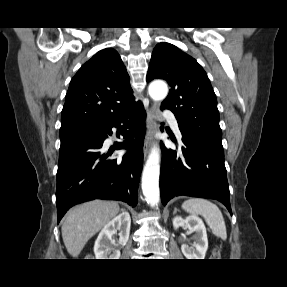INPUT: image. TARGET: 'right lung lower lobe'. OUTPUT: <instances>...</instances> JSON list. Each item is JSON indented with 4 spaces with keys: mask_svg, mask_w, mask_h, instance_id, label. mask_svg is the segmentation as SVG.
I'll return each mask as SVG.
<instances>
[{
    "mask_svg": "<svg viewBox=\"0 0 287 287\" xmlns=\"http://www.w3.org/2000/svg\"><path fill=\"white\" fill-rule=\"evenodd\" d=\"M146 113L138 103L126 112L95 126L94 133L61 140L57 171L56 204L58 223L74 205L94 199L121 200L137 205L143 165ZM117 127L127 149L122 158L108 159L103 142Z\"/></svg>",
    "mask_w": 287,
    "mask_h": 287,
    "instance_id": "right-lung-lower-lobe-1",
    "label": "right lung lower lobe"
}]
</instances>
